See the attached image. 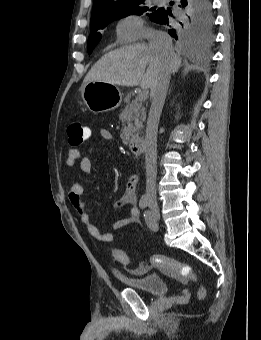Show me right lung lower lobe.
I'll return each instance as SVG.
<instances>
[{"instance_id": "1", "label": "right lung lower lobe", "mask_w": 261, "mask_h": 340, "mask_svg": "<svg viewBox=\"0 0 261 340\" xmlns=\"http://www.w3.org/2000/svg\"><path fill=\"white\" fill-rule=\"evenodd\" d=\"M172 4V2H171ZM172 5H175V10L172 11L170 9L159 8L158 15L152 20L158 24L168 25L172 22L173 18H177L179 13L189 7L198 8L205 11L211 12V0H176ZM169 34L175 37V34L172 33V29L169 30Z\"/></svg>"}]
</instances>
